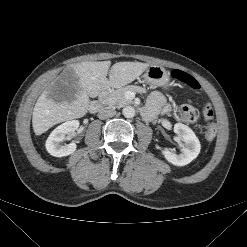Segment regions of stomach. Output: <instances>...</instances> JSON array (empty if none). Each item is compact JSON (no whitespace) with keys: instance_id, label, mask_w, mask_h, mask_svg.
Here are the masks:
<instances>
[{"instance_id":"1","label":"stomach","mask_w":247,"mask_h":247,"mask_svg":"<svg viewBox=\"0 0 247 247\" xmlns=\"http://www.w3.org/2000/svg\"><path fill=\"white\" fill-rule=\"evenodd\" d=\"M145 81L154 87L166 86L169 81V73L161 66H149L143 75Z\"/></svg>"}]
</instances>
